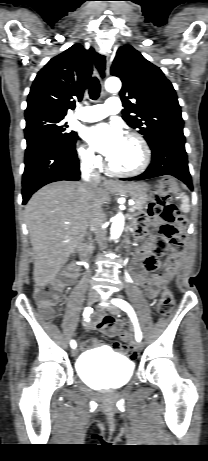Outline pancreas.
<instances>
[{
  "label": "pancreas",
  "instance_id": "1",
  "mask_svg": "<svg viewBox=\"0 0 208 461\" xmlns=\"http://www.w3.org/2000/svg\"><path fill=\"white\" fill-rule=\"evenodd\" d=\"M146 201H147L146 197L136 199L135 204L133 206V211L142 210L146 206Z\"/></svg>",
  "mask_w": 208,
  "mask_h": 461
}]
</instances>
